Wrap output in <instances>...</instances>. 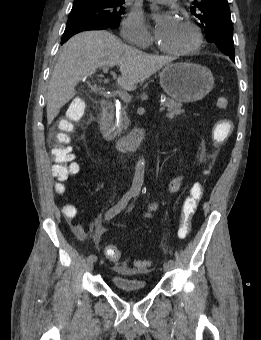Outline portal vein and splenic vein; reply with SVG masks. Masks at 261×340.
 Segmentation results:
<instances>
[{"label":"portal vein and splenic vein","mask_w":261,"mask_h":340,"mask_svg":"<svg viewBox=\"0 0 261 340\" xmlns=\"http://www.w3.org/2000/svg\"><path fill=\"white\" fill-rule=\"evenodd\" d=\"M102 70H103V72L106 73V72H108L109 67L105 65V66H103ZM119 97L126 103H129L132 99V96L129 95L128 93H126V92H120ZM164 110H165V107L163 105H161V107L159 108V111L162 112Z\"/></svg>","instance_id":"1"}]
</instances>
